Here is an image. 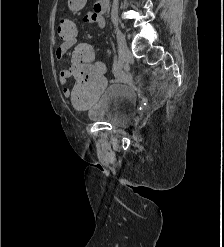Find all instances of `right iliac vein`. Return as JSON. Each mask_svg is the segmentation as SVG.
<instances>
[{
    "label": "right iliac vein",
    "mask_w": 224,
    "mask_h": 247,
    "mask_svg": "<svg viewBox=\"0 0 224 247\" xmlns=\"http://www.w3.org/2000/svg\"><path fill=\"white\" fill-rule=\"evenodd\" d=\"M116 35H117V41H118V46L120 50V55L123 60V62L126 60L127 55H128V46L125 40V37L121 30L116 27Z\"/></svg>",
    "instance_id": "63e3f726"
}]
</instances>
